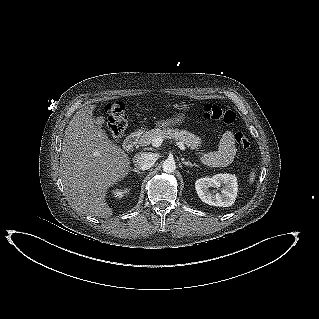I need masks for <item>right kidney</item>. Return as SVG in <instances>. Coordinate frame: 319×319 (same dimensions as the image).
<instances>
[{"label":"right kidney","instance_id":"1","mask_svg":"<svg viewBox=\"0 0 319 319\" xmlns=\"http://www.w3.org/2000/svg\"><path fill=\"white\" fill-rule=\"evenodd\" d=\"M128 192H129L128 188L113 190L114 197H116V198H122Z\"/></svg>","mask_w":319,"mask_h":319}]
</instances>
